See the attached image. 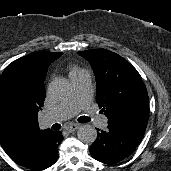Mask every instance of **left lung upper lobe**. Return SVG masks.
Masks as SVG:
<instances>
[{"instance_id": "5c2ea615", "label": "left lung upper lobe", "mask_w": 171, "mask_h": 171, "mask_svg": "<svg viewBox=\"0 0 171 171\" xmlns=\"http://www.w3.org/2000/svg\"><path fill=\"white\" fill-rule=\"evenodd\" d=\"M91 65L97 85L96 101L108 126L142 140L149 117V99L137 70L106 49L78 52Z\"/></svg>"}]
</instances>
